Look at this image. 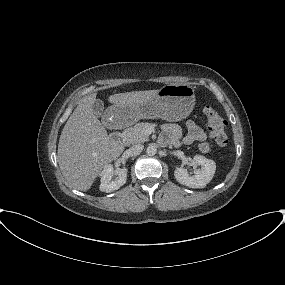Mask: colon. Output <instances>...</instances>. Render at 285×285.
<instances>
[{
    "label": "colon",
    "instance_id": "1",
    "mask_svg": "<svg viewBox=\"0 0 285 285\" xmlns=\"http://www.w3.org/2000/svg\"><path fill=\"white\" fill-rule=\"evenodd\" d=\"M204 115L211 138L218 146H226L228 143V137L226 134V120L213 107H206L204 109ZM199 149L203 153H208L211 150V147L209 143L203 142L199 145Z\"/></svg>",
    "mask_w": 285,
    "mask_h": 285
}]
</instances>
